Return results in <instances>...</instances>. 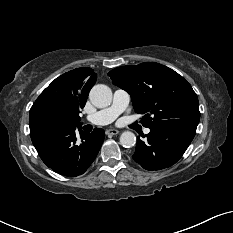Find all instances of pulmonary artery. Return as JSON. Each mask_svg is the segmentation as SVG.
<instances>
[{"instance_id": "obj_1", "label": "pulmonary artery", "mask_w": 233, "mask_h": 233, "mask_svg": "<svg viewBox=\"0 0 233 233\" xmlns=\"http://www.w3.org/2000/svg\"><path fill=\"white\" fill-rule=\"evenodd\" d=\"M129 102L130 95L128 92L122 89H117L113 94L112 104L109 107L86 117L84 122L92 125H107L113 122L126 109ZM144 132L148 134L150 133V129L146 128Z\"/></svg>"}]
</instances>
